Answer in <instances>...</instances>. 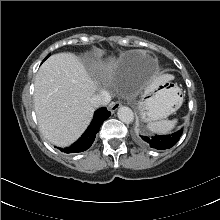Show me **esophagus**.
<instances>
[{
    "label": "esophagus",
    "mask_w": 220,
    "mask_h": 220,
    "mask_svg": "<svg viewBox=\"0 0 220 220\" xmlns=\"http://www.w3.org/2000/svg\"><path fill=\"white\" fill-rule=\"evenodd\" d=\"M120 106H121V102H120V101L112 102V103L110 104V110H111V112L114 113Z\"/></svg>",
    "instance_id": "esophagus-1"
}]
</instances>
